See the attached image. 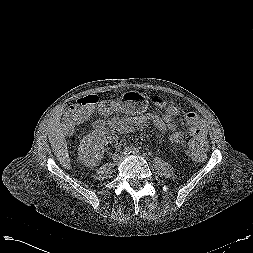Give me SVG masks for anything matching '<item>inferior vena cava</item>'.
Here are the masks:
<instances>
[{
    "label": "inferior vena cava",
    "instance_id": "inferior-vena-cava-1",
    "mask_svg": "<svg viewBox=\"0 0 253 253\" xmlns=\"http://www.w3.org/2000/svg\"><path fill=\"white\" fill-rule=\"evenodd\" d=\"M123 157H124L123 153H116L114 154L113 159L118 161V160H121Z\"/></svg>",
    "mask_w": 253,
    "mask_h": 253
}]
</instances>
